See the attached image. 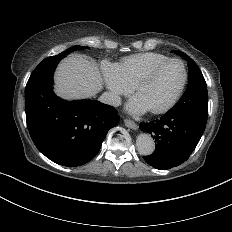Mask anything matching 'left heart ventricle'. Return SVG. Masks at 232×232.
I'll return each instance as SVG.
<instances>
[{
  "label": "left heart ventricle",
  "mask_w": 232,
  "mask_h": 232,
  "mask_svg": "<svg viewBox=\"0 0 232 232\" xmlns=\"http://www.w3.org/2000/svg\"><path fill=\"white\" fill-rule=\"evenodd\" d=\"M184 78L180 64L171 62L162 67L137 90L136 95L150 110L165 106L179 90Z\"/></svg>",
  "instance_id": "1"
}]
</instances>
